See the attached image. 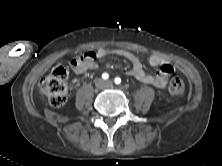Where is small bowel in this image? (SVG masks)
I'll use <instances>...</instances> for the list:
<instances>
[{
    "label": "small bowel",
    "instance_id": "small-bowel-1",
    "mask_svg": "<svg viewBox=\"0 0 222 166\" xmlns=\"http://www.w3.org/2000/svg\"><path fill=\"white\" fill-rule=\"evenodd\" d=\"M110 55L121 56L131 63L132 67L127 72L129 76L159 89H164L167 86L168 77L174 72V66L159 55H151L149 57V64L159 68L156 73L149 74L145 72L140 59L134 53L125 49L106 48L90 51L73 59L71 67L75 73L83 74L89 70L97 69V60Z\"/></svg>",
    "mask_w": 222,
    "mask_h": 166
}]
</instances>
